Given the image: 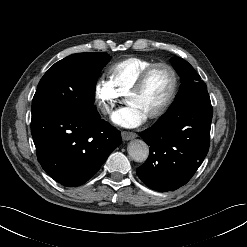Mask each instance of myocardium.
Returning a JSON list of instances; mask_svg holds the SVG:
<instances>
[{"label":"myocardium","instance_id":"f54148a6","mask_svg":"<svg viewBox=\"0 0 247 247\" xmlns=\"http://www.w3.org/2000/svg\"><path fill=\"white\" fill-rule=\"evenodd\" d=\"M158 67H164V68L169 70L171 77H172V86H171L170 92H169L165 102L162 104V106L157 111H155L154 113H152L151 115H149L147 117L149 120H155V119L160 118L162 115H164L166 113V111L172 105V103H173V101L177 95L178 87H179L178 74H177L175 68L172 65L165 63V62L152 63L151 65H149L147 68H145L141 72V74L139 75L135 84L131 87V89L126 94V98H127L131 95H135V94L140 93L143 90V88L146 84V81H147L149 75L151 74V72Z\"/></svg>","mask_w":247,"mask_h":247}]
</instances>
